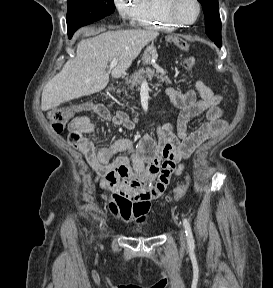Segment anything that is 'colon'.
I'll use <instances>...</instances> for the list:
<instances>
[{"instance_id": "obj_1", "label": "colon", "mask_w": 273, "mask_h": 288, "mask_svg": "<svg viewBox=\"0 0 273 288\" xmlns=\"http://www.w3.org/2000/svg\"><path fill=\"white\" fill-rule=\"evenodd\" d=\"M179 49L182 51H188L189 46L186 42L179 40L176 42ZM193 64V58L190 57L187 59V66L190 67ZM85 107H60L56 108L49 112L48 120L51 123L52 128L56 132H61L64 126L73 118L75 113ZM76 137L78 134L75 135ZM190 180L187 179L186 182L178 186L171 197L168 198L170 202L179 201L189 190Z\"/></svg>"}]
</instances>
